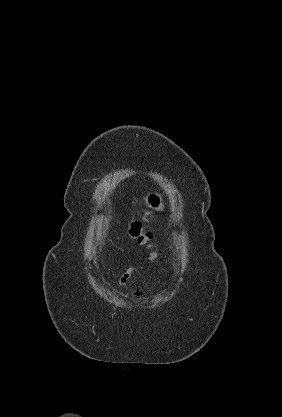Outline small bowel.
Instances as JSON below:
<instances>
[{
  "label": "small bowel",
  "instance_id": "small-bowel-1",
  "mask_svg": "<svg viewBox=\"0 0 282 417\" xmlns=\"http://www.w3.org/2000/svg\"><path fill=\"white\" fill-rule=\"evenodd\" d=\"M135 268L133 266L129 267L128 270L122 275V277L120 278V286L121 287H125L130 279V277L132 276V274L134 273ZM132 296L135 298H142L144 297V292L142 290H135L132 292Z\"/></svg>",
  "mask_w": 282,
  "mask_h": 417
}]
</instances>
